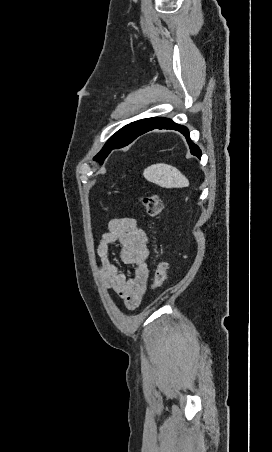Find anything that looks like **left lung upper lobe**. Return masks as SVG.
<instances>
[{
    "mask_svg": "<svg viewBox=\"0 0 272 452\" xmlns=\"http://www.w3.org/2000/svg\"><path fill=\"white\" fill-rule=\"evenodd\" d=\"M156 118H148V119H142L133 123H130L123 128H121L119 131H117L110 139L107 141V143L104 145L102 150L93 158L95 161H98L100 164L103 163L105 158L110 153V146L114 141L117 139L123 137L124 139H130L133 136L137 135L139 132L145 130L148 128L153 121Z\"/></svg>",
    "mask_w": 272,
    "mask_h": 452,
    "instance_id": "1",
    "label": "left lung upper lobe"
}]
</instances>
